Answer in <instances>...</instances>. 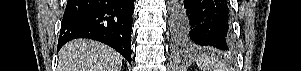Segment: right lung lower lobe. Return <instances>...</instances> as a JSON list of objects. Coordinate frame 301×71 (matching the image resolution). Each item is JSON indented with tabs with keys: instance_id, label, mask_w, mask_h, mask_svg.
<instances>
[{
	"instance_id": "right-lung-lower-lobe-1",
	"label": "right lung lower lobe",
	"mask_w": 301,
	"mask_h": 71,
	"mask_svg": "<svg viewBox=\"0 0 301 71\" xmlns=\"http://www.w3.org/2000/svg\"><path fill=\"white\" fill-rule=\"evenodd\" d=\"M133 0H68L58 50L68 41L89 38L105 43L130 63Z\"/></svg>"
}]
</instances>
